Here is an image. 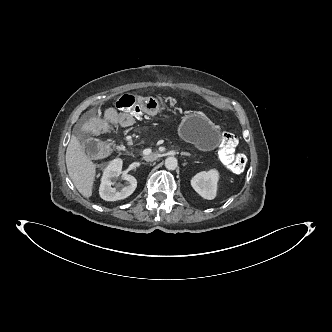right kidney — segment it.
Masks as SVG:
<instances>
[{
    "label": "right kidney",
    "mask_w": 332,
    "mask_h": 332,
    "mask_svg": "<svg viewBox=\"0 0 332 332\" xmlns=\"http://www.w3.org/2000/svg\"><path fill=\"white\" fill-rule=\"evenodd\" d=\"M122 174V160L117 158L111 161L105 168L103 176L101 178V184L99 188L100 197L105 201H117L122 200L130 196L137 187V180L130 174H122V179L126 180L129 185L123 187L120 191H116V188L111 187L113 184L112 179Z\"/></svg>",
    "instance_id": "1"
}]
</instances>
